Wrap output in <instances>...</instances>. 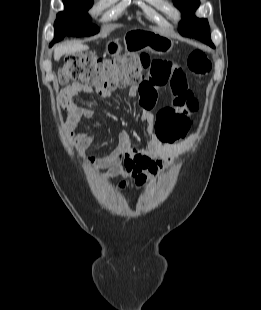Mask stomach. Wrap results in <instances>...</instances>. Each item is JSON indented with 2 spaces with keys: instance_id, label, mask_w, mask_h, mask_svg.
I'll return each mask as SVG.
<instances>
[{
  "instance_id": "0dacf381",
  "label": "stomach",
  "mask_w": 261,
  "mask_h": 310,
  "mask_svg": "<svg viewBox=\"0 0 261 310\" xmlns=\"http://www.w3.org/2000/svg\"><path fill=\"white\" fill-rule=\"evenodd\" d=\"M173 44L170 38L151 30H132L125 38V45L131 51L148 50L160 55L170 52ZM121 49L118 41H110L106 46V53L112 56L118 55Z\"/></svg>"
}]
</instances>
